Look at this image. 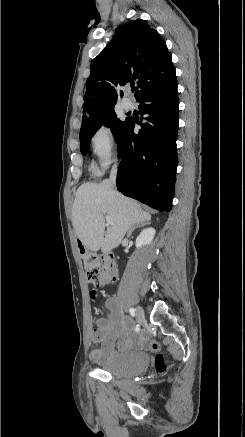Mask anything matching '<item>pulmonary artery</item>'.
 Wrapping results in <instances>:
<instances>
[{"mask_svg": "<svg viewBox=\"0 0 245 437\" xmlns=\"http://www.w3.org/2000/svg\"><path fill=\"white\" fill-rule=\"evenodd\" d=\"M121 106H122V108L124 109V110H131L132 109V107H133V103L131 102V100H129L128 98H124L122 101H121Z\"/></svg>", "mask_w": 245, "mask_h": 437, "instance_id": "obj_1", "label": "pulmonary artery"}]
</instances>
